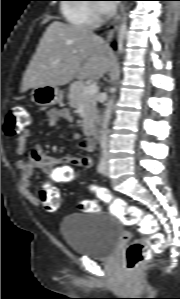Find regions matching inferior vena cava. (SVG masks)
Instances as JSON below:
<instances>
[{
    "instance_id": "inferior-vena-cava-1",
    "label": "inferior vena cava",
    "mask_w": 180,
    "mask_h": 299,
    "mask_svg": "<svg viewBox=\"0 0 180 299\" xmlns=\"http://www.w3.org/2000/svg\"><path fill=\"white\" fill-rule=\"evenodd\" d=\"M103 128H104V126H103ZM106 135H107V132L105 130H102L100 144H101V148H102L104 154L106 153V148H107V136Z\"/></svg>"
}]
</instances>
